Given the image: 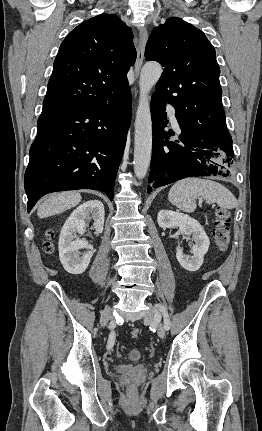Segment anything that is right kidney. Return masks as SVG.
I'll use <instances>...</instances> for the list:
<instances>
[{
	"mask_svg": "<svg viewBox=\"0 0 262 431\" xmlns=\"http://www.w3.org/2000/svg\"><path fill=\"white\" fill-rule=\"evenodd\" d=\"M104 206L99 200H89L78 206L64 223L59 237V258L64 269L71 274H81L88 267L93 255V246L79 239L76 234H83L86 220L94 221L95 233H101L104 227ZM81 249H86L81 253ZM82 255V256H81Z\"/></svg>",
	"mask_w": 262,
	"mask_h": 431,
	"instance_id": "ca27d5eb",
	"label": "right kidney"
}]
</instances>
